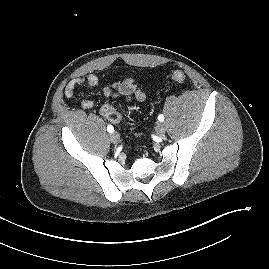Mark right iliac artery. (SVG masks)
<instances>
[{
  "instance_id": "82829eb1",
  "label": "right iliac artery",
  "mask_w": 269,
  "mask_h": 269,
  "mask_svg": "<svg viewBox=\"0 0 269 269\" xmlns=\"http://www.w3.org/2000/svg\"><path fill=\"white\" fill-rule=\"evenodd\" d=\"M107 130H108L109 133H112L114 131V128H113L112 125H108Z\"/></svg>"
}]
</instances>
